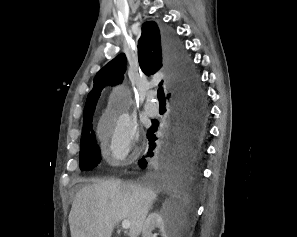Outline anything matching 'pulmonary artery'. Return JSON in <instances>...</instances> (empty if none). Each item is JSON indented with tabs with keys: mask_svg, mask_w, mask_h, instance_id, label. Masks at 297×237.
<instances>
[{
	"mask_svg": "<svg viewBox=\"0 0 297 237\" xmlns=\"http://www.w3.org/2000/svg\"><path fill=\"white\" fill-rule=\"evenodd\" d=\"M151 97H152V95H149V97H148V99H147V101H146V103H145L144 108H145V111H146L149 115L153 116V115H156V114L158 113V111H159V107H158V105H157L156 103H154V102L151 100Z\"/></svg>",
	"mask_w": 297,
	"mask_h": 237,
	"instance_id": "e3ab8cb5",
	"label": "pulmonary artery"
}]
</instances>
